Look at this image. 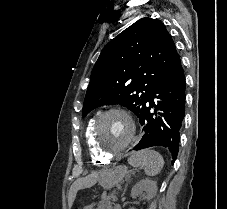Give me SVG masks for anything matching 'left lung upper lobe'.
<instances>
[{
  "label": "left lung upper lobe",
  "mask_w": 227,
  "mask_h": 209,
  "mask_svg": "<svg viewBox=\"0 0 227 209\" xmlns=\"http://www.w3.org/2000/svg\"><path fill=\"white\" fill-rule=\"evenodd\" d=\"M179 59L161 22L138 20L103 48L91 73L82 117L107 104H121L139 117Z\"/></svg>",
  "instance_id": "left-lung-upper-lobe-1"
}]
</instances>
